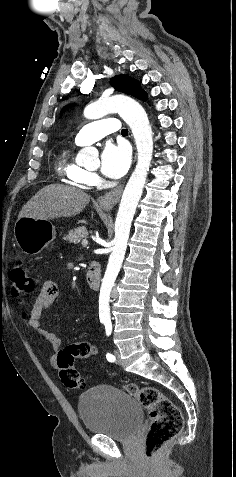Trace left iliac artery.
Returning a JSON list of instances; mask_svg holds the SVG:
<instances>
[{
	"instance_id": "1",
	"label": "left iliac artery",
	"mask_w": 236,
	"mask_h": 477,
	"mask_svg": "<svg viewBox=\"0 0 236 477\" xmlns=\"http://www.w3.org/2000/svg\"><path fill=\"white\" fill-rule=\"evenodd\" d=\"M104 325H105L106 335L109 336L112 332V325L110 322H104ZM106 358L109 362L115 361V356L112 355L111 353H107Z\"/></svg>"
}]
</instances>
